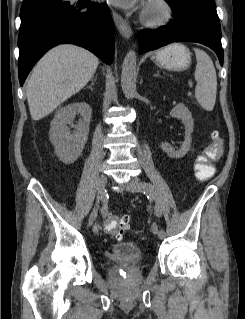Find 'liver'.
Here are the masks:
<instances>
[{"mask_svg": "<svg viewBox=\"0 0 245 319\" xmlns=\"http://www.w3.org/2000/svg\"><path fill=\"white\" fill-rule=\"evenodd\" d=\"M99 59L75 45L50 50L35 66L27 83L30 114L37 121L78 93L92 78Z\"/></svg>", "mask_w": 245, "mask_h": 319, "instance_id": "obj_1", "label": "liver"}]
</instances>
